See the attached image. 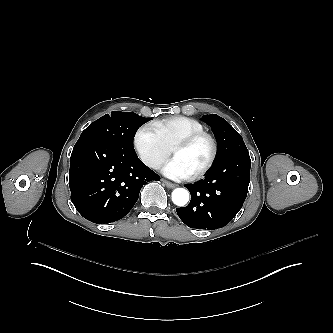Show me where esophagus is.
Returning <instances> with one entry per match:
<instances>
[{
    "label": "esophagus",
    "instance_id": "obj_1",
    "mask_svg": "<svg viewBox=\"0 0 333 333\" xmlns=\"http://www.w3.org/2000/svg\"><path fill=\"white\" fill-rule=\"evenodd\" d=\"M162 182L168 187V188H175L177 186V184L172 183L166 179H162Z\"/></svg>",
    "mask_w": 333,
    "mask_h": 333
}]
</instances>
